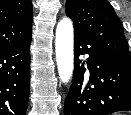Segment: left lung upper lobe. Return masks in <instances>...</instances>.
<instances>
[{
  "label": "left lung upper lobe",
  "mask_w": 131,
  "mask_h": 115,
  "mask_svg": "<svg viewBox=\"0 0 131 115\" xmlns=\"http://www.w3.org/2000/svg\"><path fill=\"white\" fill-rule=\"evenodd\" d=\"M74 31L92 39L109 57L131 68V54L120 19L107 0H66Z\"/></svg>",
  "instance_id": "1"
}]
</instances>
